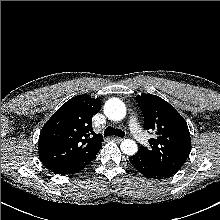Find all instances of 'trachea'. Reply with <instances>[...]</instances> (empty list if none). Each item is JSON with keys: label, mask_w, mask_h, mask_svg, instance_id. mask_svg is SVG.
<instances>
[{"label": "trachea", "mask_w": 220, "mask_h": 220, "mask_svg": "<svg viewBox=\"0 0 220 220\" xmlns=\"http://www.w3.org/2000/svg\"><path fill=\"white\" fill-rule=\"evenodd\" d=\"M113 135L123 138L125 136V133L120 129H115L111 126H108L104 131V137L113 136Z\"/></svg>", "instance_id": "trachea-1"}]
</instances>
